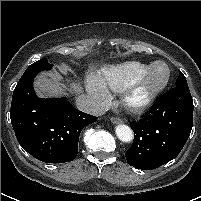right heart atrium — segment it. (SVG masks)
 Wrapping results in <instances>:
<instances>
[{"label": "right heart atrium", "mask_w": 201, "mask_h": 201, "mask_svg": "<svg viewBox=\"0 0 201 201\" xmlns=\"http://www.w3.org/2000/svg\"><path fill=\"white\" fill-rule=\"evenodd\" d=\"M86 91L95 111H100L110 101L108 88L95 75L88 78Z\"/></svg>", "instance_id": "obj_1"}]
</instances>
